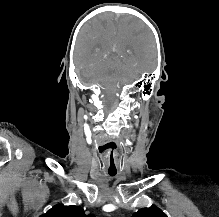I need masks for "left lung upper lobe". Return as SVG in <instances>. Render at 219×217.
Listing matches in <instances>:
<instances>
[{
    "instance_id": "5c2ea615",
    "label": "left lung upper lobe",
    "mask_w": 219,
    "mask_h": 217,
    "mask_svg": "<svg viewBox=\"0 0 219 217\" xmlns=\"http://www.w3.org/2000/svg\"><path fill=\"white\" fill-rule=\"evenodd\" d=\"M132 217H167V215L158 207L152 206L140 209L138 212L134 213Z\"/></svg>"
}]
</instances>
